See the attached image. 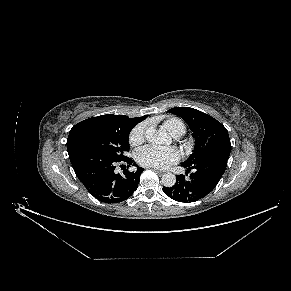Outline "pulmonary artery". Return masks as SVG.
Listing matches in <instances>:
<instances>
[{
  "instance_id": "pulmonary-artery-1",
  "label": "pulmonary artery",
  "mask_w": 291,
  "mask_h": 291,
  "mask_svg": "<svg viewBox=\"0 0 291 291\" xmlns=\"http://www.w3.org/2000/svg\"><path fill=\"white\" fill-rule=\"evenodd\" d=\"M181 135H175L174 137H180Z\"/></svg>"
}]
</instances>
